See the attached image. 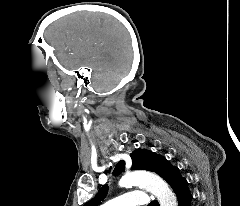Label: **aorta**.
<instances>
[{"label":"aorta","instance_id":"aorta-1","mask_svg":"<svg viewBox=\"0 0 240 206\" xmlns=\"http://www.w3.org/2000/svg\"><path fill=\"white\" fill-rule=\"evenodd\" d=\"M119 185L121 187L141 186L157 198L160 206H178L177 199L167 183L151 172H128L121 178Z\"/></svg>","mask_w":240,"mask_h":206}]
</instances>
